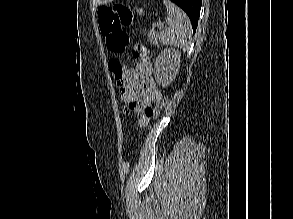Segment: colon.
<instances>
[{"instance_id":"1","label":"colon","mask_w":293,"mask_h":219,"mask_svg":"<svg viewBox=\"0 0 293 219\" xmlns=\"http://www.w3.org/2000/svg\"><path fill=\"white\" fill-rule=\"evenodd\" d=\"M99 27L105 37L109 50L116 54H122L130 50L133 56L142 61L148 58L146 48L143 45L129 47V38L124 28L130 25L132 15L128 7L123 4H116L113 7H101L98 9ZM116 81L119 83L124 74V65L118 59H111L108 63ZM167 98H163L152 110V117L157 118L165 105Z\"/></svg>"}]
</instances>
